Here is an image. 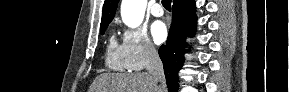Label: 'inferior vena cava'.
Segmentation results:
<instances>
[{
    "mask_svg": "<svg viewBox=\"0 0 289 92\" xmlns=\"http://www.w3.org/2000/svg\"><path fill=\"white\" fill-rule=\"evenodd\" d=\"M146 52H147L146 69L153 78L154 82L156 84L160 83V86H158V88L160 89L159 91L161 92L164 89H166V82L162 61L158 55V52L156 51V49L152 44H148L146 46Z\"/></svg>",
    "mask_w": 289,
    "mask_h": 92,
    "instance_id": "obj_1",
    "label": "inferior vena cava"
}]
</instances>
